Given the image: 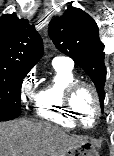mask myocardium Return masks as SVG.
Instances as JSON below:
<instances>
[{"instance_id": "f54148a6", "label": "myocardium", "mask_w": 114, "mask_h": 156, "mask_svg": "<svg viewBox=\"0 0 114 156\" xmlns=\"http://www.w3.org/2000/svg\"><path fill=\"white\" fill-rule=\"evenodd\" d=\"M83 88H86L91 92V94L94 98V102H95L94 120H93V123L91 125H86L82 121L80 114L78 113L77 109L75 108V104H74L76 94L79 92V90H81ZM65 105H66L68 112L72 116V118L80 126H82L84 128H92L97 124L99 116L101 114L102 107H101V101H100L98 91H97L96 87L93 84H91L90 82L83 81V80H77V81L73 82L68 87V89L66 91Z\"/></svg>"}]
</instances>
